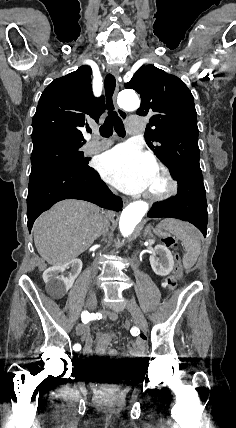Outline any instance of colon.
Here are the masks:
<instances>
[{
    "mask_svg": "<svg viewBox=\"0 0 236 428\" xmlns=\"http://www.w3.org/2000/svg\"><path fill=\"white\" fill-rule=\"evenodd\" d=\"M164 241H165L166 246H168V247H170V248H174V247H176V246H177V241H176V239H175L174 237L169 236V237H167ZM175 260H176L175 268H174V270H173L172 274H171V275H169V276L167 277V279L165 280V282H164V286H165L169 291H173V290H174V288H175V287H176V285H177L178 280H179V279L181 278V276L183 275V268H182V266H181V263H180L179 257H178V256H176V257H175ZM124 326H125L126 328H129V327H130V323H129V322H125Z\"/></svg>",
    "mask_w": 236,
    "mask_h": 428,
    "instance_id": "colon-1",
    "label": "colon"
}]
</instances>
